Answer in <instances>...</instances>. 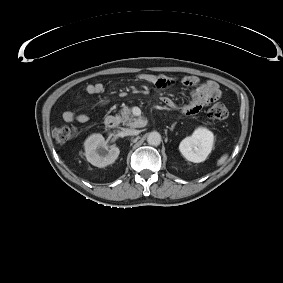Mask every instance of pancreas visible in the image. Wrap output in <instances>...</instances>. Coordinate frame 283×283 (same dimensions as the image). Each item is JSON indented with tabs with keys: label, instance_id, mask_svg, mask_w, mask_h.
Wrapping results in <instances>:
<instances>
[{
	"label": "pancreas",
	"instance_id": "pancreas-1",
	"mask_svg": "<svg viewBox=\"0 0 283 283\" xmlns=\"http://www.w3.org/2000/svg\"><path fill=\"white\" fill-rule=\"evenodd\" d=\"M121 114V122L129 127H139V118H136L129 107L124 106L120 112Z\"/></svg>",
	"mask_w": 283,
	"mask_h": 283
}]
</instances>
